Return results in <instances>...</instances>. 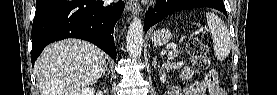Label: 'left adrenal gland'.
<instances>
[{
    "mask_svg": "<svg viewBox=\"0 0 277 95\" xmlns=\"http://www.w3.org/2000/svg\"><path fill=\"white\" fill-rule=\"evenodd\" d=\"M152 65L156 66V59H153Z\"/></svg>",
    "mask_w": 277,
    "mask_h": 95,
    "instance_id": "a2214340",
    "label": "left adrenal gland"
}]
</instances>
